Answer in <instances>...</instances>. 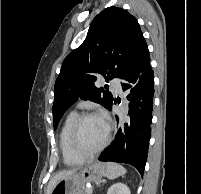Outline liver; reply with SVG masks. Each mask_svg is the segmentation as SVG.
<instances>
[{
  "mask_svg": "<svg viewBox=\"0 0 201 194\" xmlns=\"http://www.w3.org/2000/svg\"><path fill=\"white\" fill-rule=\"evenodd\" d=\"M78 169H73V170H67V171H61L57 173L49 182L48 187H47V194H51L52 190L56 186V184L63 178L70 176L74 173H76Z\"/></svg>",
  "mask_w": 201,
  "mask_h": 194,
  "instance_id": "obj_1",
  "label": "liver"
}]
</instances>
